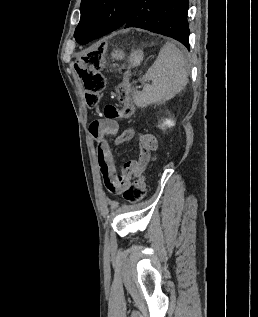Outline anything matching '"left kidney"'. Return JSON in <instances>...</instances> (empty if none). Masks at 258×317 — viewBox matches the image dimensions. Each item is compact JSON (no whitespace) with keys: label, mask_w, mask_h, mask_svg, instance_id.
I'll list each match as a JSON object with an SVG mask.
<instances>
[{"label":"left kidney","mask_w":258,"mask_h":317,"mask_svg":"<svg viewBox=\"0 0 258 317\" xmlns=\"http://www.w3.org/2000/svg\"><path fill=\"white\" fill-rule=\"evenodd\" d=\"M175 120H172V118H165L163 120L162 124H159L160 128H164V126H174Z\"/></svg>","instance_id":"left-kidney-1"}]
</instances>
